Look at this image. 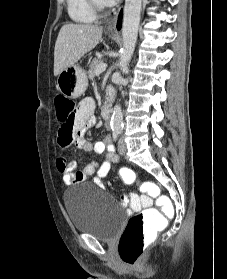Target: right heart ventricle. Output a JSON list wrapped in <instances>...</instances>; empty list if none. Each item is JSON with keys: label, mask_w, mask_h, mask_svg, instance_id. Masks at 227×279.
<instances>
[{"label": "right heart ventricle", "mask_w": 227, "mask_h": 279, "mask_svg": "<svg viewBox=\"0 0 227 279\" xmlns=\"http://www.w3.org/2000/svg\"><path fill=\"white\" fill-rule=\"evenodd\" d=\"M69 17L77 23H91L96 15L92 12L87 0H66Z\"/></svg>", "instance_id": "right-heart-ventricle-1"}]
</instances>
